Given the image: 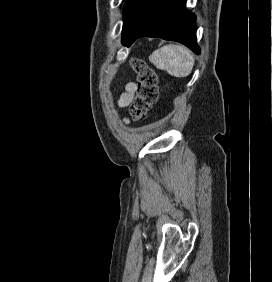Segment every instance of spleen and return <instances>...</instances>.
<instances>
[{"label": "spleen", "mask_w": 272, "mask_h": 282, "mask_svg": "<svg viewBox=\"0 0 272 282\" xmlns=\"http://www.w3.org/2000/svg\"><path fill=\"white\" fill-rule=\"evenodd\" d=\"M149 60L161 70L175 77H186L193 67V56L180 45H165L154 51Z\"/></svg>", "instance_id": "obj_1"}]
</instances>
